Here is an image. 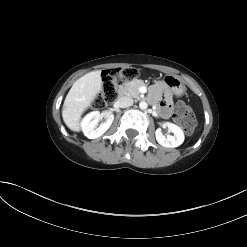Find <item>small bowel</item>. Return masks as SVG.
Returning a JSON list of instances; mask_svg holds the SVG:
<instances>
[{
    "label": "small bowel",
    "mask_w": 247,
    "mask_h": 247,
    "mask_svg": "<svg viewBox=\"0 0 247 247\" xmlns=\"http://www.w3.org/2000/svg\"><path fill=\"white\" fill-rule=\"evenodd\" d=\"M163 90H164L163 83H157L153 87L150 99L152 102L158 103L161 109V113L164 117H169L171 114L172 97L168 92H165L163 95H161Z\"/></svg>",
    "instance_id": "c3829d8e"
}]
</instances>
